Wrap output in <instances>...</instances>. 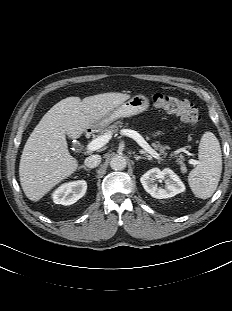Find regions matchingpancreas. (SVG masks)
Instances as JSON below:
<instances>
[{"label":"pancreas","instance_id":"cf45deb5","mask_svg":"<svg viewBox=\"0 0 232 311\" xmlns=\"http://www.w3.org/2000/svg\"><path fill=\"white\" fill-rule=\"evenodd\" d=\"M123 127V122L122 121H116L114 124L108 126L107 128L103 129L101 131L102 134H106V133H116L118 132L119 128ZM147 139H149L147 137ZM152 146L158 150L160 152L161 155L166 156L167 153L165 152L166 149L168 148L167 146H163L161 145L158 141H156L155 143H152ZM178 162L180 164H182V156H180V158L178 159Z\"/></svg>","mask_w":232,"mask_h":311}]
</instances>
